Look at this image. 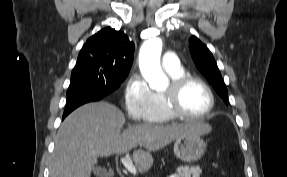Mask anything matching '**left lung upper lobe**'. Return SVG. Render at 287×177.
<instances>
[{"label": "left lung upper lobe", "mask_w": 287, "mask_h": 177, "mask_svg": "<svg viewBox=\"0 0 287 177\" xmlns=\"http://www.w3.org/2000/svg\"><path fill=\"white\" fill-rule=\"evenodd\" d=\"M189 42L191 56L195 65L213 86L215 91L223 98L224 102L228 104V91L210 50L195 36H192Z\"/></svg>", "instance_id": "5c2ea615"}]
</instances>
